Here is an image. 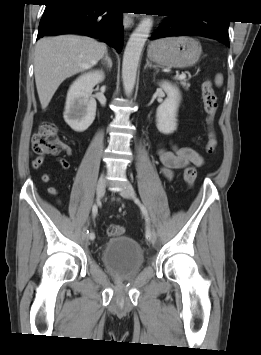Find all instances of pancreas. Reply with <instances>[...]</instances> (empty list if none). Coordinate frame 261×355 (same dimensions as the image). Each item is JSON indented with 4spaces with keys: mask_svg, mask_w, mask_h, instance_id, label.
<instances>
[{
    "mask_svg": "<svg viewBox=\"0 0 261 355\" xmlns=\"http://www.w3.org/2000/svg\"><path fill=\"white\" fill-rule=\"evenodd\" d=\"M180 84L187 90L190 87V84L187 82V80H182L180 81Z\"/></svg>",
    "mask_w": 261,
    "mask_h": 355,
    "instance_id": "cf45deb5",
    "label": "pancreas"
}]
</instances>
